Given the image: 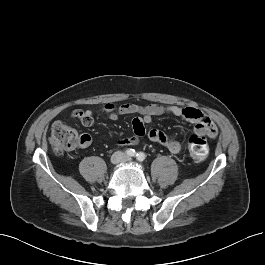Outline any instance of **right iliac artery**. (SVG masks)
Masks as SVG:
<instances>
[{
    "label": "right iliac artery",
    "instance_id": "right-iliac-artery-1",
    "mask_svg": "<svg viewBox=\"0 0 265 265\" xmlns=\"http://www.w3.org/2000/svg\"><path fill=\"white\" fill-rule=\"evenodd\" d=\"M125 152L128 156H131V157L137 156V153L134 149H127Z\"/></svg>",
    "mask_w": 265,
    "mask_h": 265
}]
</instances>
